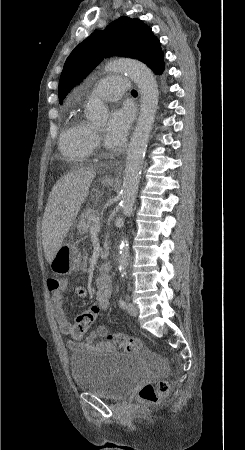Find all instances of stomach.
<instances>
[{"label": "stomach", "mask_w": 245, "mask_h": 450, "mask_svg": "<svg viewBox=\"0 0 245 450\" xmlns=\"http://www.w3.org/2000/svg\"><path fill=\"white\" fill-rule=\"evenodd\" d=\"M105 185H112V182H104ZM81 262V255L77 247L71 243H63L57 250L50 263L53 272L66 275L76 270Z\"/></svg>", "instance_id": "obj_1"}]
</instances>
